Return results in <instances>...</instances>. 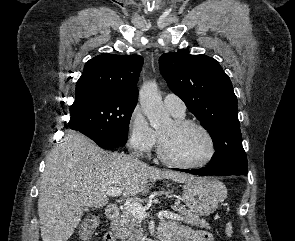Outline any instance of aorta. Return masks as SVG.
I'll return each instance as SVG.
<instances>
[{
	"instance_id": "obj_1",
	"label": "aorta",
	"mask_w": 295,
	"mask_h": 241,
	"mask_svg": "<svg viewBox=\"0 0 295 241\" xmlns=\"http://www.w3.org/2000/svg\"><path fill=\"white\" fill-rule=\"evenodd\" d=\"M139 101L152 128L157 130L171 123L155 81L143 84L139 91Z\"/></svg>"
}]
</instances>
